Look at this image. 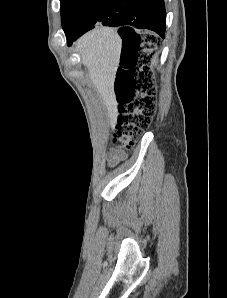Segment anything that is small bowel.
Wrapping results in <instances>:
<instances>
[{
    "label": "small bowel",
    "mask_w": 227,
    "mask_h": 298,
    "mask_svg": "<svg viewBox=\"0 0 227 298\" xmlns=\"http://www.w3.org/2000/svg\"><path fill=\"white\" fill-rule=\"evenodd\" d=\"M127 157L124 150L119 148H112L106 154V160L108 165L114 166L119 162L123 161Z\"/></svg>",
    "instance_id": "small-bowel-1"
}]
</instances>
